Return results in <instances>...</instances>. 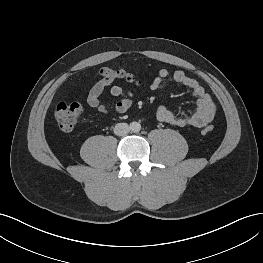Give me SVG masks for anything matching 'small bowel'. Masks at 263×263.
<instances>
[{"mask_svg": "<svg viewBox=\"0 0 263 263\" xmlns=\"http://www.w3.org/2000/svg\"><path fill=\"white\" fill-rule=\"evenodd\" d=\"M169 77L174 83L183 85L191 91L196 99V109L186 114H176L166 106H160L156 111L157 120L173 127L201 128L207 126L214 117L216 106L210 95L195 78L188 76L183 71L171 72L167 69H160L150 84L151 90L158 91L166 87ZM108 85L109 83L105 80L91 84L86 97L87 105L104 115L127 112L132 105V91L118 85H111L110 94L118 97L119 100L114 105L107 106L101 102L100 98Z\"/></svg>", "mask_w": 263, "mask_h": 263, "instance_id": "obj_1", "label": "small bowel"}]
</instances>
